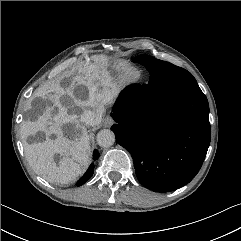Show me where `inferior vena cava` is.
<instances>
[{"label":"inferior vena cava","instance_id":"inferior-vena-cava-1","mask_svg":"<svg viewBox=\"0 0 241 241\" xmlns=\"http://www.w3.org/2000/svg\"><path fill=\"white\" fill-rule=\"evenodd\" d=\"M95 113L91 110H85L80 117L81 122L85 123L86 125H92L95 120Z\"/></svg>","mask_w":241,"mask_h":241}]
</instances>
